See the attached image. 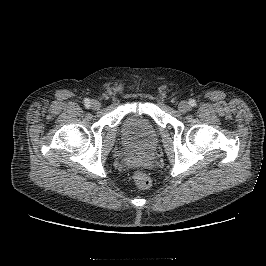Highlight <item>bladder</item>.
Segmentation results:
<instances>
[{
    "label": "bladder",
    "instance_id": "31cf9c89",
    "mask_svg": "<svg viewBox=\"0 0 266 266\" xmlns=\"http://www.w3.org/2000/svg\"><path fill=\"white\" fill-rule=\"evenodd\" d=\"M121 134L129 147L139 151H150L158 142L154 124L143 115L126 117L121 123Z\"/></svg>",
    "mask_w": 266,
    "mask_h": 266
}]
</instances>
